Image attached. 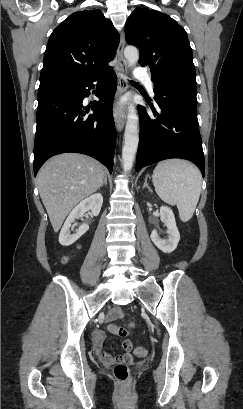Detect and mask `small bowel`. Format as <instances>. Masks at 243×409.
Instances as JSON below:
<instances>
[{
    "label": "small bowel",
    "mask_w": 243,
    "mask_h": 409,
    "mask_svg": "<svg viewBox=\"0 0 243 409\" xmlns=\"http://www.w3.org/2000/svg\"><path fill=\"white\" fill-rule=\"evenodd\" d=\"M122 318V309L120 307H115L111 312L108 313L106 317V322H112L116 319ZM105 332L102 330H96L94 331L92 338H91V345L92 348L98 357V359L106 364H113L119 361L122 362H131L132 360V350H133V344L130 340L124 339L122 341V347L125 350V354L120 357H112L110 353L104 350L103 344L105 341Z\"/></svg>",
    "instance_id": "small-bowel-1"
}]
</instances>
